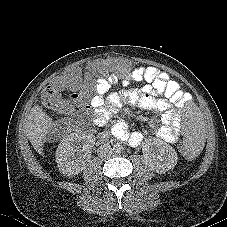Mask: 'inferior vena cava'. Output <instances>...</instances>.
<instances>
[{
    "mask_svg": "<svg viewBox=\"0 0 227 227\" xmlns=\"http://www.w3.org/2000/svg\"><path fill=\"white\" fill-rule=\"evenodd\" d=\"M113 149L109 144H103L98 148V156L108 158L112 155Z\"/></svg>",
    "mask_w": 227,
    "mask_h": 227,
    "instance_id": "1",
    "label": "inferior vena cava"
}]
</instances>
